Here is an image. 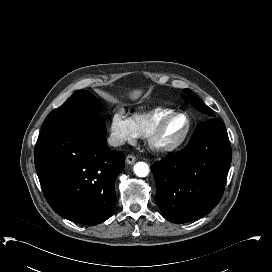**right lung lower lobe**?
<instances>
[{"instance_id":"right-lung-lower-lobe-1","label":"right lung lower lobe","mask_w":272,"mask_h":272,"mask_svg":"<svg viewBox=\"0 0 272 272\" xmlns=\"http://www.w3.org/2000/svg\"><path fill=\"white\" fill-rule=\"evenodd\" d=\"M34 160L45 198L56 213L85 225L108 219L125 156L107 146L100 116L85 115L42 130Z\"/></svg>"}]
</instances>
